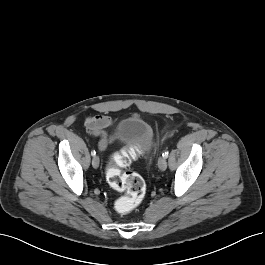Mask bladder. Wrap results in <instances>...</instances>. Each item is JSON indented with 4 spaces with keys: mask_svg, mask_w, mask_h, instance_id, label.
Returning a JSON list of instances; mask_svg holds the SVG:
<instances>
[{
    "mask_svg": "<svg viewBox=\"0 0 265 265\" xmlns=\"http://www.w3.org/2000/svg\"><path fill=\"white\" fill-rule=\"evenodd\" d=\"M116 141L119 144H133L139 152L146 153L153 144V131L144 118L126 117L118 124Z\"/></svg>",
    "mask_w": 265,
    "mask_h": 265,
    "instance_id": "31cf9c89",
    "label": "bladder"
}]
</instances>
